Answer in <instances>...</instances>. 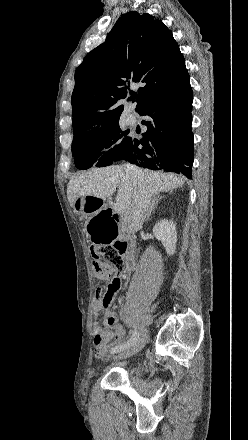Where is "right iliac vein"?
Segmentation results:
<instances>
[{
    "label": "right iliac vein",
    "mask_w": 248,
    "mask_h": 440,
    "mask_svg": "<svg viewBox=\"0 0 248 440\" xmlns=\"http://www.w3.org/2000/svg\"><path fill=\"white\" fill-rule=\"evenodd\" d=\"M148 338V333L146 329H142L136 342L133 343L129 348L120 351V353L116 356H114V358H128L130 356H133L134 354H136L137 352H139L145 345L146 341Z\"/></svg>",
    "instance_id": "1"
}]
</instances>
